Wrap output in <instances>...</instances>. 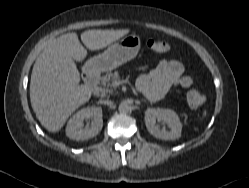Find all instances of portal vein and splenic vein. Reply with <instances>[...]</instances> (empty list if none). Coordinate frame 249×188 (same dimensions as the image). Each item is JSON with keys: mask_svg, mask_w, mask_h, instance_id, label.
<instances>
[{"mask_svg": "<svg viewBox=\"0 0 249 188\" xmlns=\"http://www.w3.org/2000/svg\"><path fill=\"white\" fill-rule=\"evenodd\" d=\"M116 85H119V82L116 80L115 82H114Z\"/></svg>", "mask_w": 249, "mask_h": 188, "instance_id": "obj_1", "label": "portal vein and splenic vein"}]
</instances>
